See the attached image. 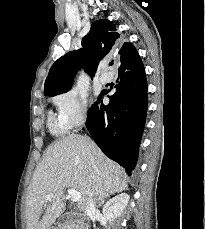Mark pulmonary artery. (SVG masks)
<instances>
[{
  "label": "pulmonary artery",
  "instance_id": "1",
  "mask_svg": "<svg viewBox=\"0 0 205 229\" xmlns=\"http://www.w3.org/2000/svg\"><path fill=\"white\" fill-rule=\"evenodd\" d=\"M108 81V79H103L101 82L102 83H105V82H107Z\"/></svg>",
  "mask_w": 205,
  "mask_h": 229
}]
</instances>
